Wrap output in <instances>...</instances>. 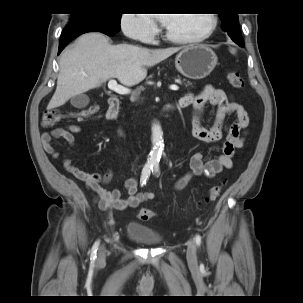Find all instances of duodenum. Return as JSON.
<instances>
[{"mask_svg":"<svg viewBox=\"0 0 303 303\" xmlns=\"http://www.w3.org/2000/svg\"><path fill=\"white\" fill-rule=\"evenodd\" d=\"M177 107H182V105L180 103L176 104ZM174 106H169L166 107L164 109V112L169 111L171 108H173ZM121 108V104H120V100L117 97H110L109 99V108H108V112H107V118L109 120H113L117 117L119 111ZM120 135H123L121 130H118Z\"/></svg>","mask_w":303,"mask_h":303,"instance_id":"410a0bca","label":"duodenum"}]
</instances>
